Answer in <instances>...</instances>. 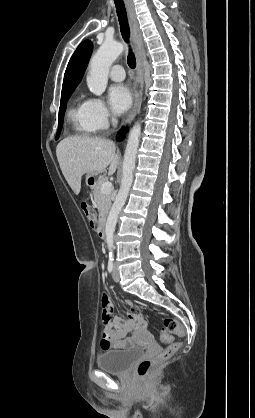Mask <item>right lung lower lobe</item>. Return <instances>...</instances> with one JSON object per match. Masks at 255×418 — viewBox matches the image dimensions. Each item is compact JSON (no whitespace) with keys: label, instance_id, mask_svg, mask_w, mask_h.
Returning a JSON list of instances; mask_svg holds the SVG:
<instances>
[{"label":"right lung lower lobe","instance_id":"98d812e1","mask_svg":"<svg viewBox=\"0 0 255 418\" xmlns=\"http://www.w3.org/2000/svg\"><path fill=\"white\" fill-rule=\"evenodd\" d=\"M126 131V130H125ZM124 137V128H122L120 131H119V133H118V135H117V139L119 140V139H122Z\"/></svg>","mask_w":255,"mask_h":418}]
</instances>
